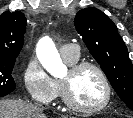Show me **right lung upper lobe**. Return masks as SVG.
Listing matches in <instances>:
<instances>
[{
    "label": "right lung upper lobe",
    "mask_w": 133,
    "mask_h": 118,
    "mask_svg": "<svg viewBox=\"0 0 133 118\" xmlns=\"http://www.w3.org/2000/svg\"><path fill=\"white\" fill-rule=\"evenodd\" d=\"M26 17L20 11L0 15V58L16 59L24 43Z\"/></svg>",
    "instance_id": "right-lung-upper-lobe-1"
}]
</instances>
